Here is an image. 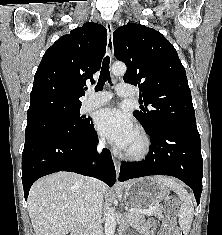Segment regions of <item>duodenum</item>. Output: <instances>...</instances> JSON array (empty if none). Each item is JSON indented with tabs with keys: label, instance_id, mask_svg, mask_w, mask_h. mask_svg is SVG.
<instances>
[{
	"label": "duodenum",
	"instance_id": "obj_1",
	"mask_svg": "<svg viewBox=\"0 0 222 235\" xmlns=\"http://www.w3.org/2000/svg\"><path fill=\"white\" fill-rule=\"evenodd\" d=\"M71 235H85L84 229L82 226L78 225L72 230Z\"/></svg>",
	"mask_w": 222,
	"mask_h": 235
}]
</instances>
